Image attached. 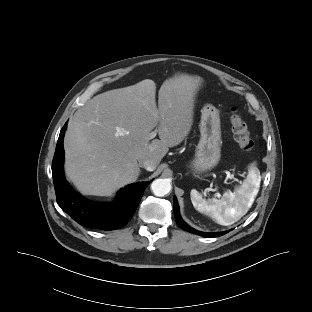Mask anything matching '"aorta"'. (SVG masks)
I'll use <instances>...</instances> for the list:
<instances>
[{"label":"aorta","instance_id":"762f6f07","mask_svg":"<svg viewBox=\"0 0 312 312\" xmlns=\"http://www.w3.org/2000/svg\"><path fill=\"white\" fill-rule=\"evenodd\" d=\"M151 190L155 196H165L171 190V184L167 179H156L151 184Z\"/></svg>","mask_w":312,"mask_h":312}]
</instances>
